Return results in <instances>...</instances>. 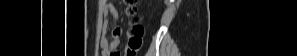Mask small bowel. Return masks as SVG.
<instances>
[{
	"mask_svg": "<svg viewBox=\"0 0 297 56\" xmlns=\"http://www.w3.org/2000/svg\"><path fill=\"white\" fill-rule=\"evenodd\" d=\"M106 12L111 14L116 20L119 18L118 11L115 5L111 2L106 4ZM108 26V21H105L103 24L104 35L101 37L100 47L103 56H115V54L117 53L116 49L121 42L123 30L121 27H116L113 30V39L112 41H109L108 38L105 36V33L108 30Z\"/></svg>",
	"mask_w": 297,
	"mask_h": 56,
	"instance_id": "1",
	"label": "small bowel"
}]
</instances>
